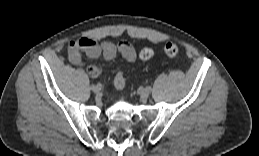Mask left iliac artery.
I'll list each match as a JSON object with an SVG mask.
<instances>
[{"label": "left iliac artery", "instance_id": "left-iliac-artery-1", "mask_svg": "<svg viewBox=\"0 0 259 156\" xmlns=\"http://www.w3.org/2000/svg\"><path fill=\"white\" fill-rule=\"evenodd\" d=\"M148 92H149V94L153 93V90H152V88L150 86L148 87Z\"/></svg>", "mask_w": 259, "mask_h": 156}]
</instances>
